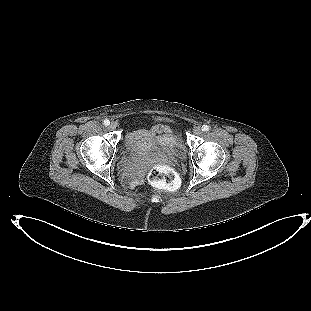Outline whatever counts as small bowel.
<instances>
[{
	"label": "small bowel",
	"mask_w": 311,
	"mask_h": 311,
	"mask_svg": "<svg viewBox=\"0 0 311 311\" xmlns=\"http://www.w3.org/2000/svg\"><path fill=\"white\" fill-rule=\"evenodd\" d=\"M162 133H164V135L166 136V131L165 130H161Z\"/></svg>",
	"instance_id": "small-bowel-1"
}]
</instances>
